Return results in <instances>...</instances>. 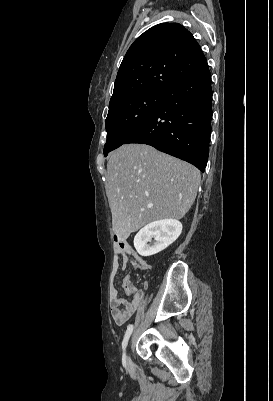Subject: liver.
Listing matches in <instances>:
<instances>
[{
    "label": "liver",
    "instance_id": "liver-1",
    "mask_svg": "<svg viewBox=\"0 0 273 401\" xmlns=\"http://www.w3.org/2000/svg\"><path fill=\"white\" fill-rule=\"evenodd\" d=\"M200 180V170L189 162L149 144H122L108 160L105 184L114 235L125 241L147 223L182 219Z\"/></svg>",
    "mask_w": 273,
    "mask_h": 401
}]
</instances>
